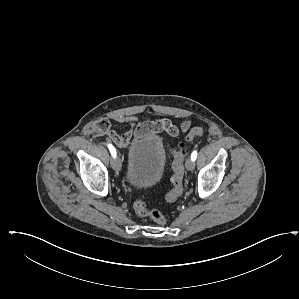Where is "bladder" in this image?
<instances>
[{
  "label": "bladder",
  "mask_w": 299,
  "mask_h": 299,
  "mask_svg": "<svg viewBox=\"0 0 299 299\" xmlns=\"http://www.w3.org/2000/svg\"><path fill=\"white\" fill-rule=\"evenodd\" d=\"M165 167V147L157 135L134 140L128 148L126 179L134 188H149L159 182Z\"/></svg>",
  "instance_id": "bladder-1"
}]
</instances>
